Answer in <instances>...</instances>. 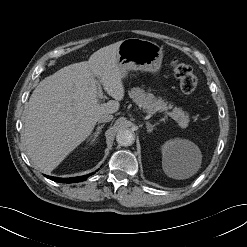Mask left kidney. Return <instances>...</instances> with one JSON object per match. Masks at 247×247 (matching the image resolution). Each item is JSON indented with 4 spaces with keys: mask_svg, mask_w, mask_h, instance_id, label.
Returning <instances> with one entry per match:
<instances>
[{
    "mask_svg": "<svg viewBox=\"0 0 247 247\" xmlns=\"http://www.w3.org/2000/svg\"><path fill=\"white\" fill-rule=\"evenodd\" d=\"M196 151L197 147L189 140H169L162 146L163 164L176 165L181 158L189 159Z\"/></svg>",
    "mask_w": 247,
    "mask_h": 247,
    "instance_id": "left-kidney-1",
    "label": "left kidney"
}]
</instances>
